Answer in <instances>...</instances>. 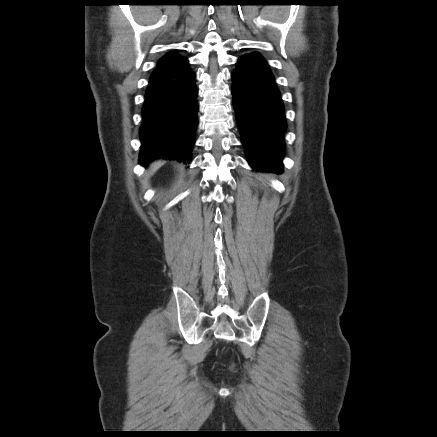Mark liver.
<instances>
[{
	"instance_id": "obj_1",
	"label": "liver",
	"mask_w": 437,
	"mask_h": 437,
	"mask_svg": "<svg viewBox=\"0 0 437 437\" xmlns=\"http://www.w3.org/2000/svg\"><path fill=\"white\" fill-rule=\"evenodd\" d=\"M163 164L162 161H158V162H154L153 164H151L150 166V174H153L154 172H156V170Z\"/></svg>"
}]
</instances>
